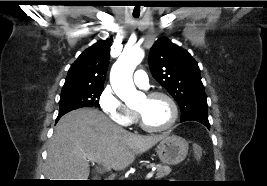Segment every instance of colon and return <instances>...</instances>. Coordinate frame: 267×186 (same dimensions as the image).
Instances as JSON below:
<instances>
[{
  "mask_svg": "<svg viewBox=\"0 0 267 186\" xmlns=\"http://www.w3.org/2000/svg\"><path fill=\"white\" fill-rule=\"evenodd\" d=\"M193 152L197 158H200L203 154V150H202L201 146H199L197 144L193 145Z\"/></svg>",
  "mask_w": 267,
  "mask_h": 186,
  "instance_id": "1",
  "label": "colon"
}]
</instances>
